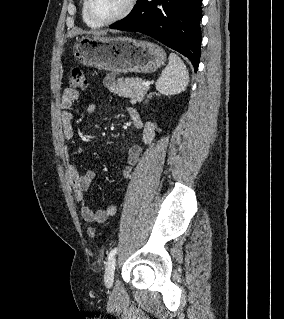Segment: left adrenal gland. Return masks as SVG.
Segmentation results:
<instances>
[{
  "instance_id": "left-adrenal-gland-1",
  "label": "left adrenal gland",
  "mask_w": 284,
  "mask_h": 319,
  "mask_svg": "<svg viewBox=\"0 0 284 319\" xmlns=\"http://www.w3.org/2000/svg\"><path fill=\"white\" fill-rule=\"evenodd\" d=\"M152 96V93H149L148 95H147V98H150Z\"/></svg>"
}]
</instances>
